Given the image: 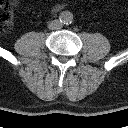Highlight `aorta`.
Returning <instances> with one entry per match:
<instances>
[{
	"label": "aorta",
	"instance_id": "1",
	"mask_svg": "<svg viewBox=\"0 0 128 128\" xmlns=\"http://www.w3.org/2000/svg\"><path fill=\"white\" fill-rule=\"evenodd\" d=\"M59 17L63 24H71L73 21V14L69 11L61 12Z\"/></svg>",
	"mask_w": 128,
	"mask_h": 128
}]
</instances>
